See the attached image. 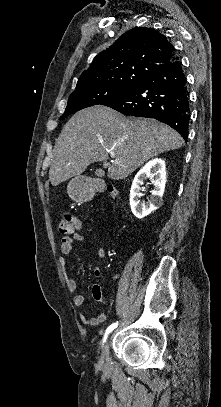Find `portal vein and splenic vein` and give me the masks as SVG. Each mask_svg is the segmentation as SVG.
Listing matches in <instances>:
<instances>
[{"mask_svg":"<svg viewBox=\"0 0 221 407\" xmlns=\"http://www.w3.org/2000/svg\"><path fill=\"white\" fill-rule=\"evenodd\" d=\"M110 156H111V158H115V154H114V153H111ZM113 162L117 163L116 160H114Z\"/></svg>","mask_w":221,"mask_h":407,"instance_id":"portal-vein-and-splenic-vein-1","label":"portal vein and splenic vein"}]
</instances>
